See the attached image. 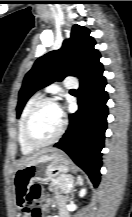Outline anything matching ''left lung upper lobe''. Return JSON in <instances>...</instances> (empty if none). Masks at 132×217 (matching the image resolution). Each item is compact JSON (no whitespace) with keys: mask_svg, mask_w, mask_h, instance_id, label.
I'll list each match as a JSON object with an SVG mask.
<instances>
[{"mask_svg":"<svg viewBox=\"0 0 132 217\" xmlns=\"http://www.w3.org/2000/svg\"><path fill=\"white\" fill-rule=\"evenodd\" d=\"M90 31L74 25L71 36L63 46L38 58L31 70L25 75L19 91L17 117L30 96L37 90L51 84L55 80H63L66 76H74L78 72L80 81L88 77L101 63L100 53L94 49L95 41Z\"/></svg>","mask_w":132,"mask_h":217,"instance_id":"left-lung-upper-lobe-1","label":"left lung upper lobe"}]
</instances>
